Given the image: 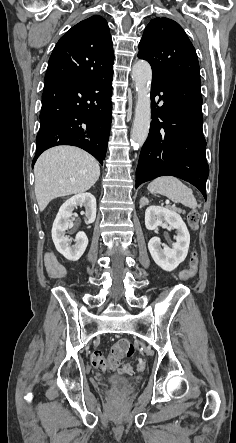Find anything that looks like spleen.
Wrapping results in <instances>:
<instances>
[{
	"instance_id": "3e777b00",
	"label": "spleen",
	"mask_w": 236,
	"mask_h": 443,
	"mask_svg": "<svg viewBox=\"0 0 236 443\" xmlns=\"http://www.w3.org/2000/svg\"><path fill=\"white\" fill-rule=\"evenodd\" d=\"M148 190L151 193L165 195L174 203H181L192 209L197 207V201L192 190L175 177L163 176L156 178L148 185Z\"/></svg>"
}]
</instances>
